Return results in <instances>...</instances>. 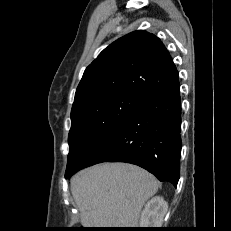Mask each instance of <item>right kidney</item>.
<instances>
[{"instance_id":"obj_1","label":"right kidney","mask_w":231,"mask_h":231,"mask_svg":"<svg viewBox=\"0 0 231 231\" xmlns=\"http://www.w3.org/2000/svg\"><path fill=\"white\" fill-rule=\"evenodd\" d=\"M168 204L160 196L147 202L141 214L140 225L144 228H160L167 212Z\"/></svg>"}]
</instances>
